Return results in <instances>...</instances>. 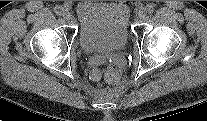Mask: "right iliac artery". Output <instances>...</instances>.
I'll return each mask as SVG.
<instances>
[{"mask_svg":"<svg viewBox=\"0 0 207 121\" xmlns=\"http://www.w3.org/2000/svg\"><path fill=\"white\" fill-rule=\"evenodd\" d=\"M63 10H64V9H63L62 6H56V7L54 8V12H55L56 15H58V16L62 15Z\"/></svg>","mask_w":207,"mask_h":121,"instance_id":"right-iliac-artery-1","label":"right iliac artery"}]
</instances>
